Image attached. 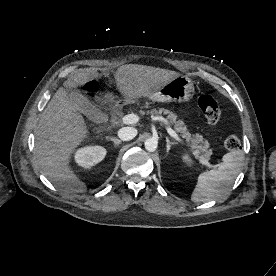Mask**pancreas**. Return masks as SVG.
Segmentation results:
<instances>
[{
    "mask_svg": "<svg viewBox=\"0 0 276 276\" xmlns=\"http://www.w3.org/2000/svg\"><path fill=\"white\" fill-rule=\"evenodd\" d=\"M152 114H165L167 115L166 120L170 125L173 126L174 130L180 133L181 137L184 138L187 143L194 150L195 155L205 161L210 159L212 154V150L209 149L210 144L207 140L203 138L200 134L191 135V133L187 130L186 125L182 120H178L177 116L164 108H160L159 110H152Z\"/></svg>",
    "mask_w": 276,
    "mask_h": 276,
    "instance_id": "cf45deb5",
    "label": "pancreas"
}]
</instances>
